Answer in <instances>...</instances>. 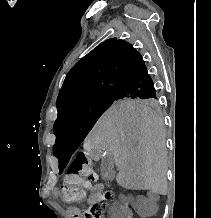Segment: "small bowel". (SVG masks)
I'll list each match as a JSON object with an SVG mask.
<instances>
[{
	"instance_id": "obj_1",
	"label": "small bowel",
	"mask_w": 211,
	"mask_h": 218,
	"mask_svg": "<svg viewBox=\"0 0 211 218\" xmlns=\"http://www.w3.org/2000/svg\"><path fill=\"white\" fill-rule=\"evenodd\" d=\"M91 192L88 197V203L93 204L96 202H102L103 201V184L100 182H96L91 187ZM52 194L54 197H59V191L57 189H54L52 191ZM70 213L74 218H80L81 210L77 207L70 208ZM112 215L114 218H134V211L132 208L126 205L116 206L112 210Z\"/></svg>"
}]
</instances>
